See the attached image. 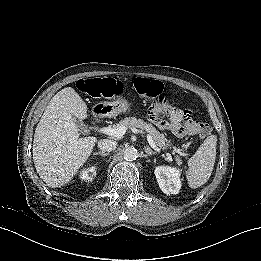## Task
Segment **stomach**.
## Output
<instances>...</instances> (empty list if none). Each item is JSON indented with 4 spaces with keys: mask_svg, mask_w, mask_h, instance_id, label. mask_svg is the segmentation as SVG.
I'll list each match as a JSON object with an SVG mask.
<instances>
[{
    "mask_svg": "<svg viewBox=\"0 0 261 261\" xmlns=\"http://www.w3.org/2000/svg\"><path fill=\"white\" fill-rule=\"evenodd\" d=\"M99 105L103 107V112L109 113H121L128 112L130 110V105L124 98H117L113 101L100 102ZM105 108V109H104Z\"/></svg>",
    "mask_w": 261,
    "mask_h": 261,
    "instance_id": "stomach-1",
    "label": "stomach"
}]
</instances>
